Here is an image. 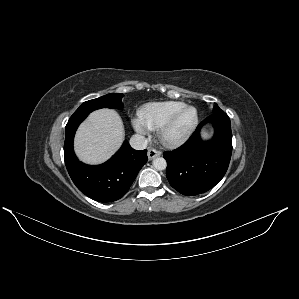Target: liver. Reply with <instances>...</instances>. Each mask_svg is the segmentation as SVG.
<instances>
[{"label": "liver", "instance_id": "6515ba94", "mask_svg": "<svg viewBox=\"0 0 299 299\" xmlns=\"http://www.w3.org/2000/svg\"><path fill=\"white\" fill-rule=\"evenodd\" d=\"M124 139V127L118 113L111 109L92 112L80 125L75 136V152L88 164H99L119 149Z\"/></svg>", "mask_w": 299, "mask_h": 299}]
</instances>
